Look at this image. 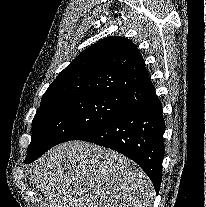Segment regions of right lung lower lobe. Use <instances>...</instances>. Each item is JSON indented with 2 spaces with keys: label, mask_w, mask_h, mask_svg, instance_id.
Listing matches in <instances>:
<instances>
[{
  "label": "right lung lower lobe",
  "mask_w": 206,
  "mask_h": 207,
  "mask_svg": "<svg viewBox=\"0 0 206 207\" xmlns=\"http://www.w3.org/2000/svg\"><path fill=\"white\" fill-rule=\"evenodd\" d=\"M126 98V104L115 116L76 140L113 149L132 159L149 176L158 194L165 152L162 104L148 77L131 88ZM41 155L27 158L25 162L31 163Z\"/></svg>",
  "instance_id": "1"
}]
</instances>
